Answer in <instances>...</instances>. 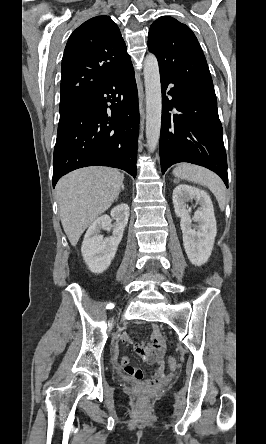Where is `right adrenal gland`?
Returning <instances> with one entry per match:
<instances>
[{"label": "right adrenal gland", "instance_id": "right-adrenal-gland-1", "mask_svg": "<svg viewBox=\"0 0 266 444\" xmlns=\"http://www.w3.org/2000/svg\"><path fill=\"white\" fill-rule=\"evenodd\" d=\"M121 189H122V191H124V185H122Z\"/></svg>", "mask_w": 266, "mask_h": 444}]
</instances>
